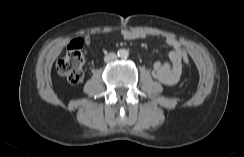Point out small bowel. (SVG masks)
I'll return each mask as SVG.
<instances>
[{"label": "small bowel", "instance_id": "small-bowel-1", "mask_svg": "<svg viewBox=\"0 0 244 157\" xmlns=\"http://www.w3.org/2000/svg\"><path fill=\"white\" fill-rule=\"evenodd\" d=\"M122 37L125 40H137L145 38L146 35L140 32L123 30L121 32ZM91 37L87 36L85 38L86 45L91 44ZM166 44L171 48L169 52V63H161L159 61H154L152 63V76L162 84L174 85L181 77L182 73V56L185 53L184 49L180 43L174 38H166Z\"/></svg>", "mask_w": 244, "mask_h": 157}]
</instances>
